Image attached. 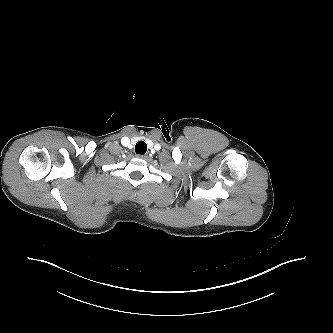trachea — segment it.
Instances as JSON below:
<instances>
[{"mask_svg":"<svg viewBox=\"0 0 333 333\" xmlns=\"http://www.w3.org/2000/svg\"><path fill=\"white\" fill-rule=\"evenodd\" d=\"M147 151V144L144 141L137 142L135 146V152L136 154L143 155Z\"/></svg>","mask_w":333,"mask_h":333,"instance_id":"trachea-1","label":"trachea"}]
</instances>
